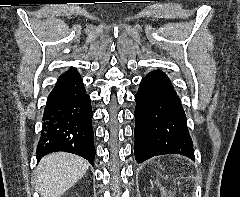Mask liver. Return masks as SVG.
Returning a JSON list of instances; mask_svg holds the SVG:
<instances>
[{
    "label": "liver",
    "instance_id": "liver-1",
    "mask_svg": "<svg viewBox=\"0 0 240 197\" xmlns=\"http://www.w3.org/2000/svg\"><path fill=\"white\" fill-rule=\"evenodd\" d=\"M89 168L84 158L67 152H54L37 166L36 187L41 197H61Z\"/></svg>",
    "mask_w": 240,
    "mask_h": 197
}]
</instances>
